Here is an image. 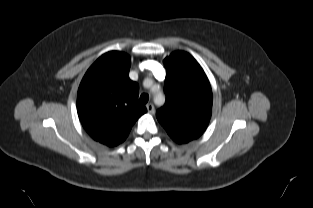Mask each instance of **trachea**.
I'll return each instance as SVG.
<instances>
[{
  "label": "trachea",
  "instance_id": "1",
  "mask_svg": "<svg viewBox=\"0 0 313 208\" xmlns=\"http://www.w3.org/2000/svg\"><path fill=\"white\" fill-rule=\"evenodd\" d=\"M148 100H149L148 94H142V95L140 96V102H141L142 104H146V103L148 102Z\"/></svg>",
  "mask_w": 313,
  "mask_h": 208
}]
</instances>
